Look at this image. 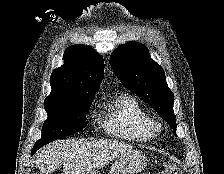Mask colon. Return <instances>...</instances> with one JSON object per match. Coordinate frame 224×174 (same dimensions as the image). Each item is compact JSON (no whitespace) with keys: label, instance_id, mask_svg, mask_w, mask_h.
I'll list each match as a JSON object with an SVG mask.
<instances>
[{"label":"colon","instance_id":"1","mask_svg":"<svg viewBox=\"0 0 224 174\" xmlns=\"http://www.w3.org/2000/svg\"><path fill=\"white\" fill-rule=\"evenodd\" d=\"M159 174H181V172L174 163L166 162Z\"/></svg>","mask_w":224,"mask_h":174}]
</instances>
